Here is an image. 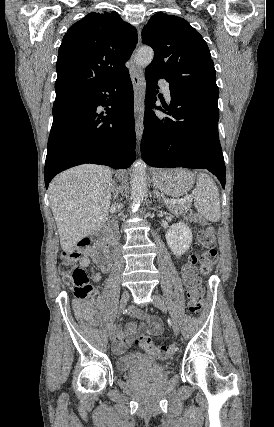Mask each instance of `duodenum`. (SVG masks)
Here are the masks:
<instances>
[{"mask_svg":"<svg viewBox=\"0 0 274 427\" xmlns=\"http://www.w3.org/2000/svg\"><path fill=\"white\" fill-rule=\"evenodd\" d=\"M106 230H107V231H109V232H111V231L113 230V223H112V222H109V223L106 225Z\"/></svg>","mask_w":274,"mask_h":427,"instance_id":"410a0bca","label":"duodenum"}]
</instances>
